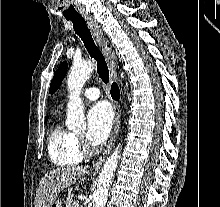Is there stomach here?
I'll use <instances>...</instances> for the list:
<instances>
[{
	"instance_id": "obj_1",
	"label": "stomach",
	"mask_w": 220,
	"mask_h": 207,
	"mask_svg": "<svg viewBox=\"0 0 220 207\" xmlns=\"http://www.w3.org/2000/svg\"><path fill=\"white\" fill-rule=\"evenodd\" d=\"M50 207H62V206H61V203H60L59 201L55 200V201L50 205Z\"/></svg>"
}]
</instances>
